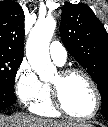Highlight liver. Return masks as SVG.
<instances>
[{
	"instance_id": "6515ba94",
	"label": "liver",
	"mask_w": 108,
	"mask_h": 127,
	"mask_svg": "<svg viewBox=\"0 0 108 127\" xmlns=\"http://www.w3.org/2000/svg\"><path fill=\"white\" fill-rule=\"evenodd\" d=\"M88 122H67L38 118L25 113L0 114V127H88Z\"/></svg>"
}]
</instances>
